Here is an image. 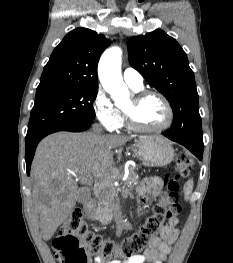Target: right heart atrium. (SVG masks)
Here are the masks:
<instances>
[{
	"instance_id": "1",
	"label": "right heart atrium",
	"mask_w": 233,
	"mask_h": 263,
	"mask_svg": "<svg viewBox=\"0 0 233 263\" xmlns=\"http://www.w3.org/2000/svg\"><path fill=\"white\" fill-rule=\"evenodd\" d=\"M93 109L97 120L107 131L113 132L121 127L123 123L121 112L112 103L101 86L96 89Z\"/></svg>"
}]
</instances>
